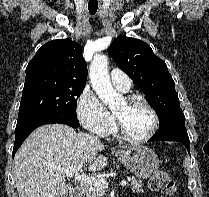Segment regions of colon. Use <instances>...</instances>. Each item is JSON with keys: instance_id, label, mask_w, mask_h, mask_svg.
<instances>
[{"instance_id": "obj_1", "label": "colon", "mask_w": 209, "mask_h": 197, "mask_svg": "<svg viewBox=\"0 0 209 197\" xmlns=\"http://www.w3.org/2000/svg\"><path fill=\"white\" fill-rule=\"evenodd\" d=\"M149 188L153 191L163 189L168 195H174L176 192L175 182L165 172L155 173L149 181Z\"/></svg>"}]
</instances>
